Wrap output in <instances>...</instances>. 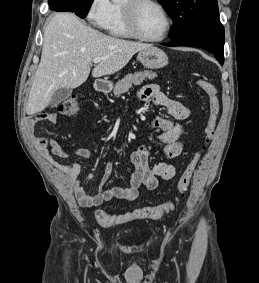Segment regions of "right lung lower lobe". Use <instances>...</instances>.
<instances>
[{"mask_svg":"<svg viewBox=\"0 0 259 283\" xmlns=\"http://www.w3.org/2000/svg\"><path fill=\"white\" fill-rule=\"evenodd\" d=\"M49 7L53 11L59 12H75L77 11L78 0H49Z\"/></svg>","mask_w":259,"mask_h":283,"instance_id":"right-lung-lower-lobe-1","label":"right lung lower lobe"}]
</instances>
